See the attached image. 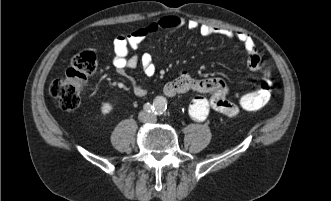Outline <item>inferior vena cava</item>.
Instances as JSON below:
<instances>
[{
    "label": "inferior vena cava",
    "mask_w": 331,
    "mask_h": 201,
    "mask_svg": "<svg viewBox=\"0 0 331 201\" xmlns=\"http://www.w3.org/2000/svg\"><path fill=\"white\" fill-rule=\"evenodd\" d=\"M139 120L142 122H155L156 118L154 115L147 113L145 111H141L139 113Z\"/></svg>",
    "instance_id": "602c4592"
}]
</instances>
